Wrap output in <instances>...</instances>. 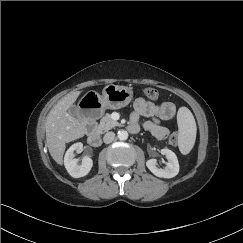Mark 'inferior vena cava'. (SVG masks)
Segmentation results:
<instances>
[{
    "instance_id": "obj_1",
    "label": "inferior vena cava",
    "mask_w": 243,
    "mask_h": 243,
    "mask_svg": "<svg viewBox=\"0 0 243 243\" xmlns=\"http://www.w3.org/2000/svg\"><path fill=\"white\" fill-rule=\"evenodd\" d=\"M115 138V133L114 132H107L104 137H103V141L106 144L111 143Z\"/></svg>"
}]
</instances>
